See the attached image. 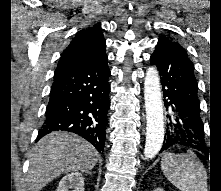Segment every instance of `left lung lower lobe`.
<instances>
[{
    "label": "left lung lower lobe",
    "instance_id": "0a47b994",
    "mask_svg": "<svg viewBox=\"0 0 221 191\" xmlns=\"http://www.w3.org/2000/svg\"><path fill=\"white\" fill-rule=\"evenodd\" d=\"M161 76L165 107L170 114L161 151L184 146L206 153L194 65L177 42L161 37L150 57Z\"/></svg>",
    "mask_w": 221,
    "mask_h": 191
}]
</instances>
